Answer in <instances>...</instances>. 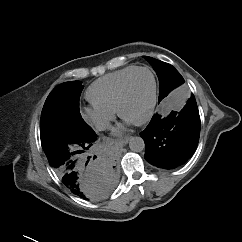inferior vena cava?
Returning a JSON list of instances; mask_svg holds the SVG:
<instances>
[{
    "label": "inferior vena cava",
    "instance_id": "1",
    "mask_svg": "<svg viewBox=\"0 0 242 242\" xmlns=\"http://www.w3.org/2000/svg\"><path fill=\"white\" fill-rule=\"evenodd\" d=\"M110 127H111V125H110L109 122H102V123H100V124L97 125V128H98L100 131H103V130L108 129V128H110Z\"/></svg>",
    "mask_w": 242,
    "mask_h": 242
}]
</instances>
